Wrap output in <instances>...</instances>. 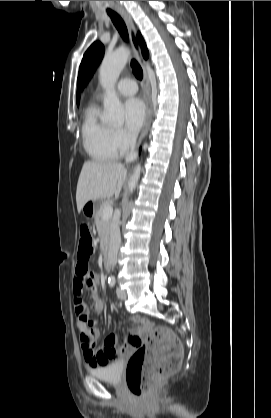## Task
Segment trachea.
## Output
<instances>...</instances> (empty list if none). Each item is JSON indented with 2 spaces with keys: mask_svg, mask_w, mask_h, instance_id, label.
Instances as JSON below:
<instances>
[{
  "mask_svg": "<svg viewBox=\"0 0 271 418\" xmlns=\"http://www.w3.org/2000/svg\"><path fill=\"white\" fill-rule=\"evenodd\" d=\"M108 15L111 17V20L113 22V24L115 25L116 29L118 30V32L120 33V35L122 36V38L124 40H128V31L126 28V25L124 23V21L122 20V18L115 13L114 11L108 9L107 10ZM131 67H132V71L134 73V75L136 76L137 79L141 80L143 77V71L142 68L140 67V65L137 63L136 60H131Z\"/></svg>",
  "mask_w": 271,
  "mask_h": 418,
  "instance_id": "1",
  "label": "trachea"
}]
</instances>
